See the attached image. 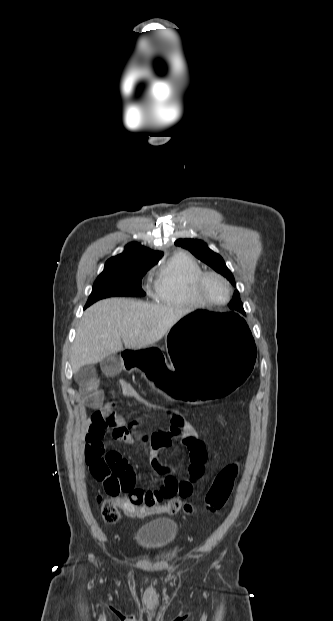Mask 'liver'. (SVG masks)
<instances>
[{
  "label": "liver",
  "instance_id": "1",
  "mask_svg": "<svg viewBox=\"0 0 333 621\" xmlns=\"http://www.w3.org/2000/svg\"><path fill=\"white\" fill-rule=\"evenodd\" d=\"M186 310L140 300L109 298L88 308L80 321L71 353V366L102 361L125 348L141 349L159 341Z\"/></svg>",
  "mask_w": 333,
  "mask_h": 621
}]
</instances>
